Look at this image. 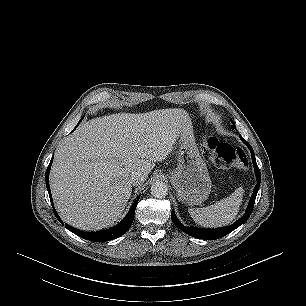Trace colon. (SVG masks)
I'll return each mask as SVG.
<instances>
[{
  "label": "colon",
  "mask_w": 306,
  "mask_h": 306,
  "mask_svg": "<svg viewBox=\"0 0 306 306\" xmlns=\"http://www.w3.org/2000/svg\"><path fill=\"white\" fill-rule=\"evenodd\" d=\"M203 154L221 168H243L248 165V155L241 146L220 143L211 135L203 139Z\"/></svg>",
  "instance_id": "5ec220e1"
}]
</instances>
